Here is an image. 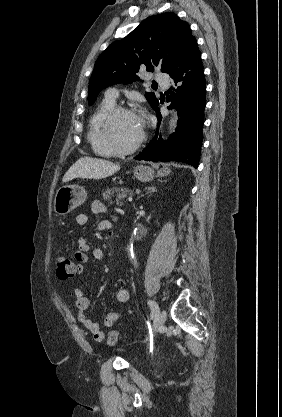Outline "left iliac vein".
<instances>
[{"instance_id":"obj_1","label":"left iliac vein","mask_w":282,"mask_h":417,"mask_svg":"<svg viewBox=\"0 0 282 417\" xmlns=\"http://www.w3.org/2000/svg\"><path fill=\"white\" fill-rule=\"evenodd\" d=\"M167 318V313L165 310H162L158 313L157 317H156V325L157 326H161L165 323Z\"/></svg>"}]
</instances>
